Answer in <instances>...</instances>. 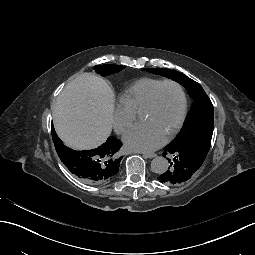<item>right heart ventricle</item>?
I'll list each match as a JSON object with an SVG mask.
<instances>
[{"label":"right heart ventricle","mask_w":255,"mask_h":255,"mask_svg":"<svg viewBox=\"0 0 255 255\" xmlns=\"http://www.w3.org/2000/svg\"><path fill=\"white\" fill-rule=\"evenodd\" d=\"M161 82L156 78H142L129 86L124 92L118 96V106L124 107L134 113H139L152 89Z\"/></svg>","instance_id":"obj_1"}]
</instances>
